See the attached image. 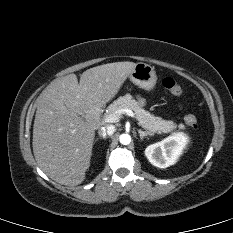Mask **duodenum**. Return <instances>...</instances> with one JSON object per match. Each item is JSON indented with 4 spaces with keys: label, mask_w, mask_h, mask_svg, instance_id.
Returning <instances> with one entry per match:
<instances>
[{
    "label": "duodenum",
    "mask_w": 233,
    "mask_h": 233,
    "mask_svg": "<svg viewBox=\"0 0 233 233\" xmlns=\"http://www.w3.org/2000/svg\"><path fill=\"white\" fill-rule=\"evenodd\" d=\"M88 120L94 124H97L98 123V114L95 110H90L88 112Z\"/></svg>",
    "instance_id": "410a0bca"
}]
</instances>
